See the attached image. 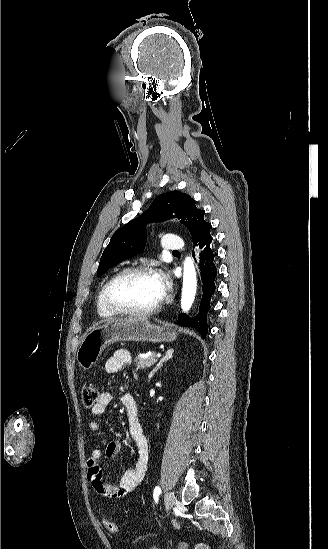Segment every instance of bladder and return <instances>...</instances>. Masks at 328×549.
Here are the masks:
<instances>
[{
	"label": "bladder",
	"mask_w": 328,
	"mask_h": 549,
	"mask_svg": "<svg viewBox=\"0 0 328 549\" xmlns=\"http://www.w3.org/2000/svg\"><path fill=\"white\" fill-rule=\"evenodd\" d=\"M154 549H160V548L156 547V548H154Z\"/></svg>",
	"instance_id": "1"
}]
</instances>
